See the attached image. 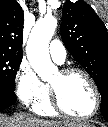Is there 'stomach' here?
Instances as JSON below:
<instances>
[{"mask_svg": "<svg viewBox=\"0 0 108 127\" xmlns=\"http://www.w3.org/2000/svg\"><path fill=\"white\" fill-rule=\"evenodd\" d=\"M84 127H95V126L91 124V125H89V126H84Z\"/></svg>", "mask_w": 108, "mask_h": 127, "instance_id": "obj_1", "label": "stomach"}]
</instances>
